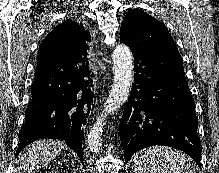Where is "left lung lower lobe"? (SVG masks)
Segmentation results:
<instances>
[{
    "mask_svg": "<svg viewBox=\"0 0 219 173\" xmlns=\"http://www.w3.org/2000/svg\"><path fill=\"white\" fill-rule=\"evenodd\" d=\"M134 84L120 121L125 162L143 148H177L201 168L198 118L180 54L133 49Z\"/></svg>",
    "mask_w": 219,
    "mask_h": 173,
    "instance_id": "0a47b994",
    "label": "left lung lower lobe"
}]
</instances>
